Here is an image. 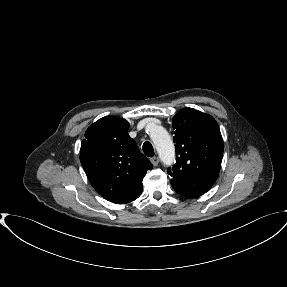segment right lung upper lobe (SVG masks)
Listing matches in <instances>:
<instances>
[{"label": "right lung upper lobe", "mask_w": 287, "mask_h": 287, "mask_svg": "<svg viewBox=\"0 0 287 287\" xmlns=\"http://www.w3.org/2000/svg\"><path fill=\"white\" fill-rule=\"evenodd\" d=\"M128 121L106 116L93 123L81 143L80 161L94 189L116 204L137 199L153 166L127 133Z\"/></svg>", "instance_id": "cb5924a9"}]
</instances>
